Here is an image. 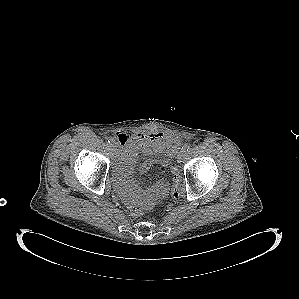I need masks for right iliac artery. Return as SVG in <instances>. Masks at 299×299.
Wrapping results in <instances>:
<instances>
[{
	"mask_svg": "<svg viewBox=\"0 0 299 299\" xmlns=\"http://www.w3.org/2000/svg\"><path fill=\"white\" fill-rule=\"evenodd\" d=\"M107 140L111 145L114 143V139L112 137H108Z\"/></svg>",
	"mask_w": 299,
	"mask_h": 299,
	"instance_id": "82829eb1",
	"label": "right iliac artery"
}]
</instances>
